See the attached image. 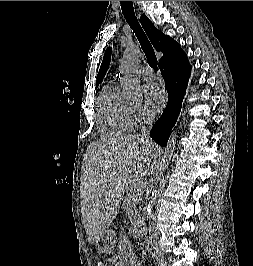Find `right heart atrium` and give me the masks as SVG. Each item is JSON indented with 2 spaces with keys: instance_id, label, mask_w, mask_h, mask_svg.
Returning <instances> with one entry per match:
<instances>
[{
  "instance_id": "right-heart-atrium-1",
  "label": "right heart atrium",
  "mask_w": 253,
  "mask_h": 266,
  "mask_svg": "<svg viewBox=\"0 0 253 266\" xmlns=\"http://www.w3.org/2000/svg\"><path fill=\"white\" fill-rule=\"evenodd\" d=\"M130 112L135 125H140L150 118L149 112L140 105H130Z\"/></svg>"
}]
</instances>
